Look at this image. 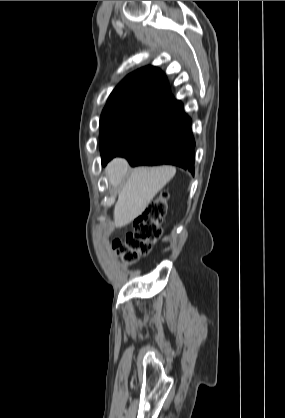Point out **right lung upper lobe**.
<instances>
[{
  "mask_svg": "<svg viewBox=\"0 0 285 418\" xmlns=\"http://www.w3.org/2000/svg\"><path fill=\"white\" fill-rule=\"evenodd\" d=\"M129 102L174 111L182 107V103L172 96L165 74L153 66L138 69L126 76L112 91L105 107Z\"/></svg>",
  "mask_w": 285,
  "mask_h": 418,
  "instance_id": "1",
  "label": "right lung upper lobe"
}]
</instances>
